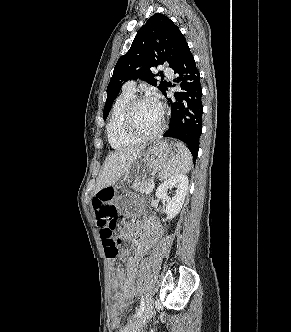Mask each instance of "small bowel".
Masks as SVG:
<instances>
[{"label":"small bowel","instance_id":"1","mask_svg":"<svg viewBox=\"0 0 291 332\" xmlns=\"http://www.w3.org/2000/svg\"><path fill=\"white\" fill-rule=\"evenodd\" d=\"M100 191L113 192L111 187H104ZM123 225L118 239L119 244L122 246L120 257L128 259V262L125 269L117 271L111 294L112 301L118 309L127 307L129 301L134 296L136 275L140 260L149 252L161 236L160 226L154 220H148L143 226L131 225L126 222H123ZM136 236L139 237L138 240H136ZM132 245H135L136 249L131 256L128 247Z\"/></svg>","mask_w":291,"mask_h":332}]
</instances>
